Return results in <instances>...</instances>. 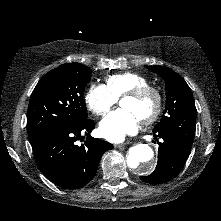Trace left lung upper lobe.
Masks as SVG:
<instances>
[{
	"label": "left lung upper lobe",
	"instance_id": "5c2ea615",
	"mask_svg": "<svg viewBox=\"0 0 221 221\" xmlns=\"http://www.w3.org/2000/svg\"><path fill=\"white\" fill-rule=\"evenodd\" d=\"M158 73L166 83V107L155 132H171L192 145L195 136L197 110L190 87L186 81L170 68L153 65L146 66Z\"/></svg>",
	"mask_w": 221,
	"mask_h": 221
}]
</instances>
